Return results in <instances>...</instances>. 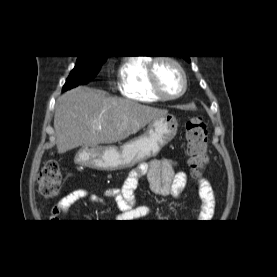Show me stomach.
Masks as SVG:
<instances>
[{
    "label": "stomach",
    "mask_w": 277,
    "mask_h": 277,
    "mask_svg": "<svg viewBox=\"0 0 277 277\" xmlns=\"http://www.w3.org/2000/svg\"><path fill=\"white\" fill-rule=\"evenodd\" d=\"M178 122L167 114L152 120L144 134L118 147L84 146L76 155V162L102 170H117L156 156L176 135Z\"/></svg>",
    "instance_id": "0dacf381"
}]
</instances>
